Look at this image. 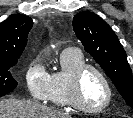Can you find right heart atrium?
<instances>
[{
    "label": "right heart atrium",
    "mask_w": 133,
    "mask_h": 118,
    "mask_svg": "<svg viewBox=\"0 0 133 118\" xmlns=\"http://www.w3.org/2000/svg\"><path fill=\"white\" fill-rule=\"evenodd\" d=\"M24 79L28 93L34 101H48L50 92V75L39 59H32L28 63L25 69Z\"/></svg>",
    "instance_id": "1"
}]
</instances>
